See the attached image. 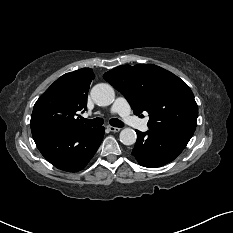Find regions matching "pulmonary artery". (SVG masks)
Listing matches in <instances>:
<instances>
[{"mask_svg":"<svg viewBox=\"0 0 233 233\" xmlns=\"http://www.w3.org/2000/svg\"><path fill=\"white\" fill-rule=\"evenodd\" d=\"M111 113L118 114L123 121L129 126L139 129L141 131H147V120H141L138 117L132 115L127 100L123 97H118L111 107Z\"/></svg>","mask_w":233,"mask_h":233,"instance_id":"pulmonary-artery-1","label":"pulmonary artery"}]
</instances>
